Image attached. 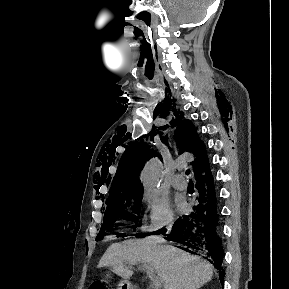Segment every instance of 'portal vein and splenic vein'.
Here are the masks:
<instances>
[{
	"label": "portal vein and splenic vein",
	"mask_w": 289,
	"mask_h": 289,
	"mask_svg": "<svg viewBox=\"0 0 289 289\" xmlns=\"http://www.w3.org/2000/svg\"><path fill=\"white\" fill-rule=\"evenodd\" d=\"M143 268L146 270L147 274L150 275V278L153 283V289H160L161 282L160 279L155 276L154 269L147 264H143Z\"/></svg>",
	"instance_id": "portal-vein-and-splenic-vein-1"
}]
</instances>
